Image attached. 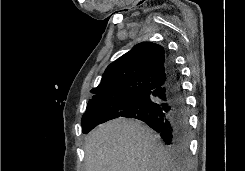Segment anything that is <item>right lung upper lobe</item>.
Masks as SVG:
<instances>
[{"label":"right lung upper lobe","mask_w":245,"mask_h":171,"mask_svg":"<svg viewBox=\"0 0 245 171\" xmlns=\"http://www.w3.org/2000/svg\"><path fill=\"white\" fill-rule=\"evenodd\" d=\"M167 58L161 45L137 44L106 68L101 83L91 90L95 95L89 102L123 95L133 98L163 86L167 81Z\"/></svg>","instance_id":"cb5924a9"}]
</instances>
